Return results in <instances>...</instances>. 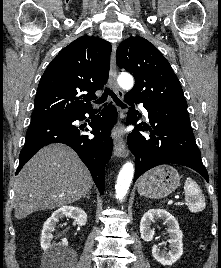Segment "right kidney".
<instances>
[{"instance_id":"1","label":"right kidney","mask_w":221,"mask_h":268,"mask_svg":"<svg viewBox=\"0 0 221 268\" xmlns=\"http://www.w3.org/2000/svg\"><path fill=\"white\" fill-rule=\"evenodd\" d=\"M63 217L73 218L80 226H84L87 222V214L79 207L63 206L54 211L51 217H49L44 223L41 233V247L48 254H53L59 247L68 245L67 239H62V241L57 244L52 243V233L55 231V227L59 222V219H62Z\"/></svg>"}]
</instances>
